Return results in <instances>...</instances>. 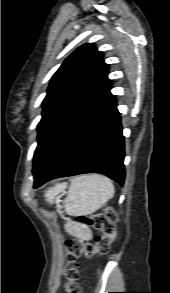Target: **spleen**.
Masks as SVG:
<instances>
[{
    "instance_id": "obj_1",
    "label": "spleen",
    "mask_w": 170,
    "mask_h": 293,
    "mask_svg": "<svg viewBox=\"0 0 170 293\" xmlns=\"http://www.w3.org/2000/svg\"><path fill=\"white\" fill-rule=\"evenodd\" d=\"M58 185L50 192L57 193ZM114 195V185L109 178L99 174L80 175L70 184L64 208L70 216L88 215L100 209Z\"/></svg>"
}]
</instances>
